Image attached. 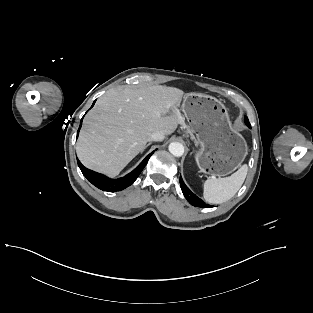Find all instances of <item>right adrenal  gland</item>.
Here are the masks:
<instances>
[{
	"instance_id": "2a0ac1e0",
	"label": "right adrenal gland",
	"mask_w": 313,
	"mask_h": 313,
	"mask_svg": "<svg viewBox=\"0 0 313 313\" xmlns=\"http://www.w3.org/2000/svg\"><path fill=\"white\" fill-rule=\"evenodd\" d=\"M151 143H148L144 148L143 150L141 151V153L150 145Z\"/></svg>"
}]
</instances>
